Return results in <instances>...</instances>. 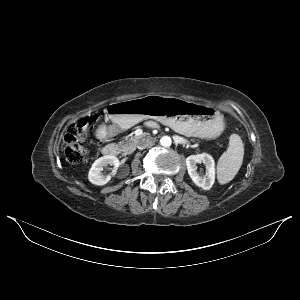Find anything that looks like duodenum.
<instances>
[{"mask_svg":"<svg viewBox=\"0 0 300 300\" xmlns=\"http://www.w3.org/2000/svg\"><path fill=\"white\" fill-rule=\"evenodd\" d=\"M98 138L103 139L109 136V131L103 127L97 133ZM103 154L105 156L113 157L117 154V148L112 145H107L103 148Z\"/></svg>","mask_w":300,"mask_h":300,"instance_id":"obj_1","label":"duodenum"}]
</instances>
